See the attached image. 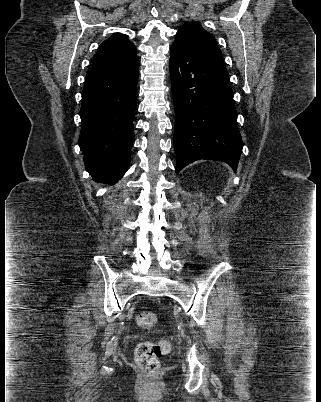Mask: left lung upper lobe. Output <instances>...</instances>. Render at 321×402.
<instances>
[{"label":"left lung upper lobe","mask_w":321,"mask_h":402,"mask_svg":"<svg viewBox=\"0 0 321 402\" xmlns=\"http://www.w3.org/2000/svg\"><path fill=\"white\" fill-rule=\"evenodd\" d=\"M174 44L222 59L214 37L197 22L182 25L177 32Z\"/></svg>","instance_id":"obj_1"}]
</instances>
